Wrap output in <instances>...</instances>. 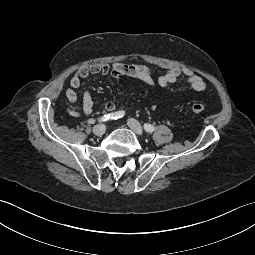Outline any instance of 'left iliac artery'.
<instances>
[{"instance_id":"44dca946","label":"left iliac artery","mask_w":255,"mask_h":255,"mask_svg":"<svg viewBox=\"0 0 255 255\" xmlns=\"http://www.w3.org/2000/svg\"><path fill=\"white\" fill-rule=\"evenodd\" d=\"M144 129L146 132L152 133L154 131V126H152L151 124H144Z\"/></svg>"}]
</instances>
